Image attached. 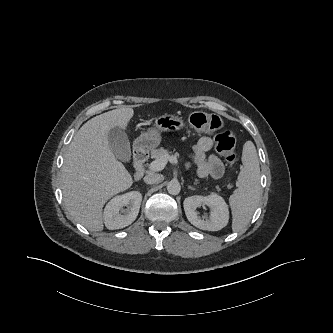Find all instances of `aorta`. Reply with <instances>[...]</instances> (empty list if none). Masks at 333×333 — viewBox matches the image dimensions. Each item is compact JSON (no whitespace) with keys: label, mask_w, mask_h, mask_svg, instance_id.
<instances>
[{"label":"aorta","mask_w":333,"mask_h":333,"mask_svg":"<svg viewBox=\"0 0 333 333\" xmlns=\"http://www.w3.org/2000/svg\"><path fill=\"white\" fill-rule=\"evenodd\" d=\"M180 190H181V186L177 180H172L167 185V191L171 195L179 194Z\"/></svg>","instance_id":"obj_1"}]
</instances>
